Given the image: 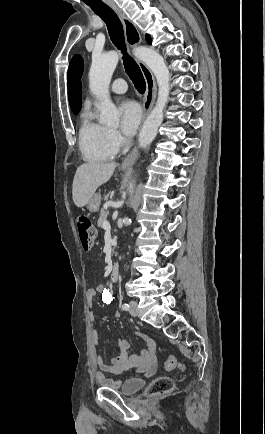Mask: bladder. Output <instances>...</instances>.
Returning a JSON list of instances; mask_svg holds the SVG:
<instances>
[{
	"label": "bladder",
	"instance_id": "obj_1",
	"mask_svg": "<svg viewBox=\"0 0 265 434\" xmlns=\"http://www.w3.org/2000/svg\"><path fill=\"white\" fill-rule=\"evenodd\" d=\"M143 387V381L139 379H128L120 387V393L125 396H134Z\"/></svg>",
	"mask_w": 265,
	"mask_h": 434
}]
</instances>
